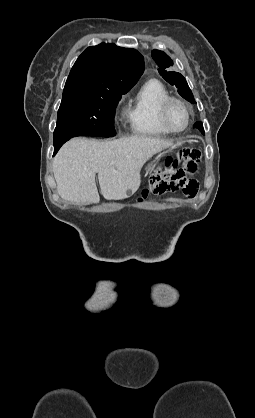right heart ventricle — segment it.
Returning <instances> with one entry per match:
<instances>
[{
  "mask_svg": "<svg viewBox=\"0 0 255 418\" xmlns=\"http://www.w3.org/2000/svg\"><path fill=\"white\" fill-rule=\"evenodd\" d=\"M168 96L167 88L157 79H149L141 85L126 111V118L133 134L164 136L170 133L159 120L160 105Z\"/></svg>",
  "mask_w": 255,
  "mask_h": 418,
  "instance_id": "obj_1",
  "label": "right heart ventricle"
}]
</instances>
